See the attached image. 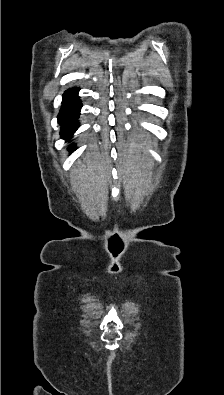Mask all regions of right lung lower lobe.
<instances>
[{
	"instance_id": "right-lung-lower-lobe-1",
	"label": "right lung lower lobe",
	"mask_w": 224,
	"mask_h": 395,
	"mask_svg": "<svg viewBox=\"0 0 224 395\" xmlns=\"http://www.w3.org/2000/svg\"><path fill=\"white\" fill-rule=\"evenodd\" d=\"M79 89L73 88L63 94V105L58 115V122L62 127V138H70L78 128L77 118L82 107L77 93ZM73 150V146H70Z\"/></svg>"
}]
</instances>
